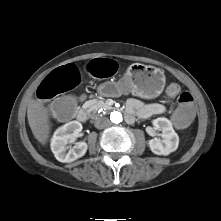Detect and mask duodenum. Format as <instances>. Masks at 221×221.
Wrapping results in <instances>:
<instances>
[{"label":"duodenum","mask_w":221,"mask_h":221,"mask_svg":"<svg viewBox=\"0 0 221 221\" xmlns=\"http://www.w3.org/2000/svg\"><path fill=\"white\" fill-rule=\"evenodd\" d=\"M76 118L80 122H85L87 120V113L84 110L79 109L76 112ZM126 118H127L128 121H132L133 120V115L126 113Z\"/></svg>","instance_id":"obj_1"}]
</instances>
